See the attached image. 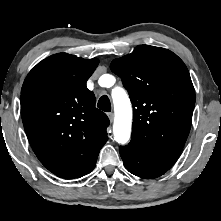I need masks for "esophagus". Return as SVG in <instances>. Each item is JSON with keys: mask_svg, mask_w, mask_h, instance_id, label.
<instances>
[{"mask_svg": "<svg viewBox=\"0 0 221 221\" xmlns=\"http://www.w3.org/2000/svg\"><path fill=\"white\" fill-rule=\"evenodd\" d=\"M107 116H108L110 122H112L114 119V114L112 112H109V113H107Z\"/></svg>", "mask_w": 221, "mask_h": 221, "instance_id": "34e87169", "label": "esophagus"}]
</instances>
